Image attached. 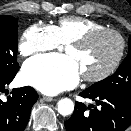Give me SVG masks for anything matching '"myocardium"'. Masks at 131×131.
I'll return each mask as SVG.
<instances>
[{"label":"myocardium","instance_id":"obj_1","mask_svg":"<svg viewBox=\"0 0 131 131\" xmlns=\"http://www.w3.org/2000/svg\"><path fill=\"white\" fill-rule=\"evenodd\" d=\"M102 34H111L117 37L119 40V49L118 52L112 61V63L102 72L95 74V75H85L82 74V78L88 82H100L106 78H108L119 66L122 58L124 56L125 48H126V41L124 36L117 30L111 28H99L92 31H89L82 35L81 37L69 42L67 46H74V47H83L93 38L102 35Z\"/></svg>","mask_w":131,"mask_h":131}]
</instances>
